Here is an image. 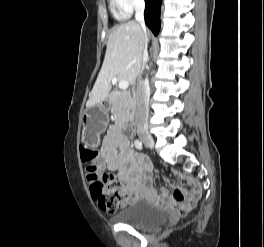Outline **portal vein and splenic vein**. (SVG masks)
<instances>
[{"label":"portal vein and splenic vein","instance_id":"obj_1","mask_svg":"<svg viewBox=\"0 0 264 247\" xmlns=\"http://www.w3.org/2000/svg\"><path fill=\"white\" fill-rule=\"evenodd\" d=\"M112 82H113V84L116 83V78H114V79L112 80ZM128 86H129V82H128V81H126V80L119 81V88H120L121 90H125V89H127Z\"/></svg>","mask_w":264,"mask_h":247}]
</instances>
